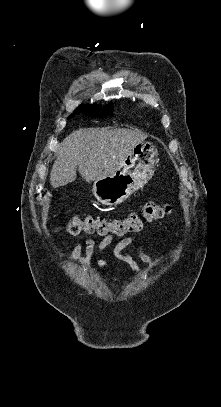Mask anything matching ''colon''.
Listing matches in <instances>:
<instances>
[{
	"label": "colon",
	"mask_w": 221,
	"mask_h": 407,
	"mask_svg": "<svg viewBox=\"0 0 221 407\" xmlns=\"http://www.w3.org/2000/svg\"><path fill=\"white\" fill-rule=\"evenodd\" d=\"M171 211V207L165 202H150L145 205L141 213L131 212L124 218L106 219L104 217H87L80 219L74 217L66 224L67 231L76 236L82 232L88 234L106 235L114 234L123 236L131 232L142 230L143 221H155Z\"/></svg>",
	"instance_id": "5ec220e1"
}]
</instances>
